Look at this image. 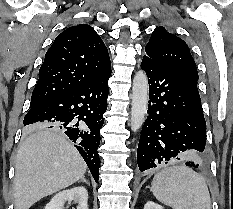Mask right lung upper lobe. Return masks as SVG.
Returning <instances> with one entry per match:
<instances>
[{
  "instance_id": "obj_1",
  "label": "right lung upper lobe",
  "mask_w": 233,
  "mask_h": 209,
  "mask_svg": "<svg viewBox=\"0 0 233 209\" xmlns=\"http://www.w3.org/2000/svg\"><path fill=\"white\" fill-rule=\"evenodd\" d=\"M110 70L108 50L96 31L87 24L71 26L48 49L31 104L82 87Z\"/></svg>"
}]
</instances>
